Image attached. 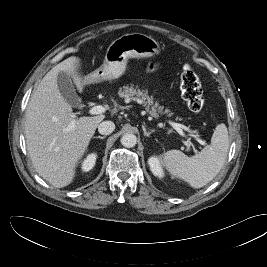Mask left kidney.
Wrapping results in <instances>:
<instances>
[{
	"label": "left kidney",
	"mask_w": 267,
	"mask_h": 267,
	"mask_svg": "<svg viewBox=\"0 0 267 267\" xmlns=\"http://www.w3.org/2000/svg\"><path fill=\"white\" fill-rule=\"evenodd\" d=\"M148 164L150 166V169L152 171V173L159 177V178H163L164 177V171L162 168V165L160 163V159L156 156H152L148 159Z\"/></svg>",
	"instance_id": "obj_1"
}]
</instances>
